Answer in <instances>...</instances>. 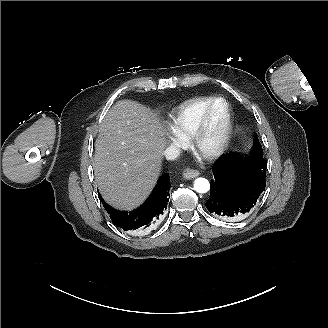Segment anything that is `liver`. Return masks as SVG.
Returning a JSON list of instances; mask_svg holds the SVG:
<instances>
[{"instance_id":"6515ba94","label":"liver","mask_w":328,"mask_h":328,"mask_svg":"<svg viewBox=\"0 0 328 328\" xmlns=\"http://www.w3.org/2000/svg\"><path fill=\"white\" fill-rule=\"evenodd\" d=\"M168 130L158 114L132 100L107 112L95 141L93 170L103 199L132 211L151 194L160 176Z\"/></svg>"}]
</instances>
